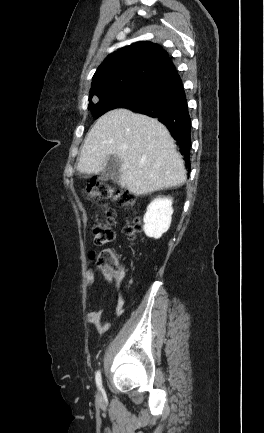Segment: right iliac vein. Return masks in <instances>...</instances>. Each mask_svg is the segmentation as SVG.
<instances>
[{
  "label": "right iliac vein",
  "mask_w": 264,
  "mask_h": 433,
  "mask_svg": "<svg viewBox=\"0 0 264 433\" xmlns=\"http://www.w3.org/2000/svg\"><path fill=\"white\" fill-rule=\"evenodd\" d=\"M98 396H99L100 398H102V393L100 392V393L98 394Z\"/></svg>",
  "instance_id": "63e3f726"
}]
</instances>
